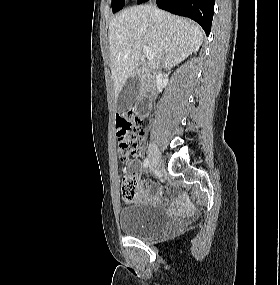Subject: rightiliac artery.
I'll return each instance as SVG.
<instances>
[{
	"label": "right iliac artery",
	"mask_w": 280,
	"mask_h": 285,
	"mask_svg": "<svg viewBox=\"0 0 280 285\" xmlns=\"http://www.w3.org/2000/svg\"><path fill=\"white\" fill-rule=\"evenodd\" d=\"M143 165H144V168H148V166H149L148 158H145Z\"/></svg>",
	"instance_id": "right-iliac-artery-1"
}]
</instances>
